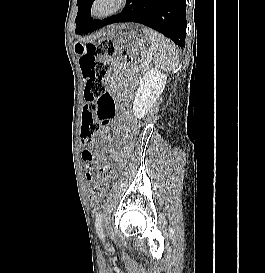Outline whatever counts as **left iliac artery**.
Instances as JSON below:
<instances>
[{
    "mask_svg": "<svg viewBox=\"0 0 265 273\" xmlns=\"http://www.w3.org/2000/svg\"><path fill=\"white\" fill-rule=\"evenodd\" d=\"M102 223H103V215H102V212H98L96 214V219H95V228H96V232L99 236V238L105 242V235H104V232H103V226H102Z\"/></svg>",
    "mask_w": 265,
    "mask_h": 273,
    "instance_id": "left-iliac-artery-1",
    "label": "left iliac artery"
}]
</instances>
